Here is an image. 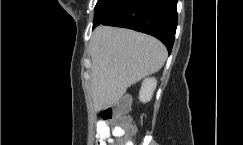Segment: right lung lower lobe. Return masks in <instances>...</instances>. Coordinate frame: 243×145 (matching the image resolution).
<instances>
[{"label": "right lung lower lobe", "instance_id": "1", "mask_svg": "<svg viewBox=\"0 0 243 145\" xmlns=\"http://www.w3.org/2000/svg\"><path fill=\"white\" fill-rule=\"evenodd\" d=\"M177 0H98L93 29L111 25L150 34L172 50L177 27Z\"/></svg>", "mask_w": 243, "mask_h": 145}]
</instances>
